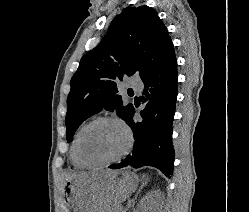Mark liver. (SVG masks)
Masks as SVG:
<instances>
[{
    "label": "liver",
    "mask_w": 249,
    "mask_h": 212,
    "mask_svg": "<svg viewBox=\"0 0 249 212\" xmlns=\"http://www.w3.org/2000/svg\"><path fill=\"white\" fill-rule=\"evenodd\" d=\"M85 180L94 192L93 212H103L107 204H122L137 190L138 176L127 170H104V172H78L68 176L67 182Z\"/></svg>",
    "instance_id": "liver-1"
}]
</instances>
